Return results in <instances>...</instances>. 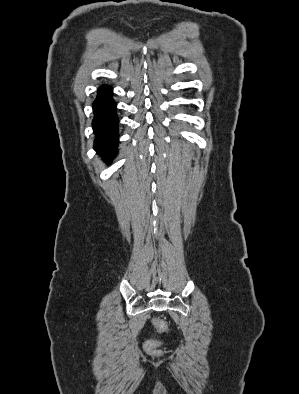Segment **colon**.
<instances>
[{"label": "colon", "instance_id": "5ec220e1", "mask_svg": "<svg viewBox=\"0 0 299 394\" xmlns=\"http://www.w3.org/2000/svg\"><path fill=\"white\" fill-rule=\"evenodd\" d=\"M154 324L160 334H165L168 332V327L166 323L164 322L163 319L160 317H155L154 318ZM162 345V340L160 339H150L145 342L144 344V349L145 351L152 355V356H157L160 354V349L159 347Z\"/></svg>", "mask_w": 299, "mask_h": 394}]
</instances>
